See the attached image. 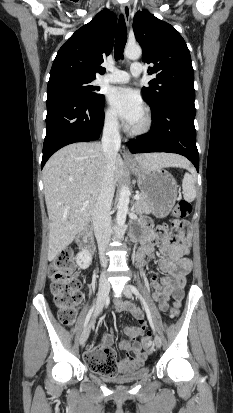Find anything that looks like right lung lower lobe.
Segmentation results:
<instances>
[{
	"mask_svg": "<svg viewBox=\"0 0 233 413\" xmlns=\"http://www.w3.org/2000/svg\"><path fill=\"white\" fill-rule=\"evenodd\" d=\"M103 125L104 103L93 105L67 93L47 96V131L41 168L63 146L97 140Z\"/></svg>",
	"mask_w": 233,
	"mask_h": 413,
	"instance_id": "1",
	"label": "right lung lower lobe"
}]
</instances>
